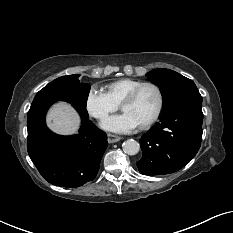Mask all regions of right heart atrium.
I'll return each instance as SVG.
<instances>
[{
    "label": "right heart atrium",
    "mask_w": 233,
    "mask_h": 233,
    "mask_svg": "<svg viewBox=\"0 0 233 233\" xmlns=\"http://www.w3.org/2000/svg\"><path fill=\"white\" fill-rule=\"evenodd\" d=\"M85 106L88 113L99 120L106 119L118 109V104L114 103L106 93L95 86H92L88 90Z\"/></svg>",
    "instance_id": "d8ad5b80"
}]
</instances>
